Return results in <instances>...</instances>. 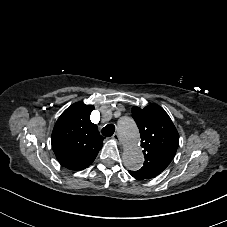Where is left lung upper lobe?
<instances>
[{
	"label": "left lung upper lobe",
	"instance_id": "left-lung-upper-lobe-1",
	"mask_svg": "<svg viewBox=\"0 0 227 227\" xmlns=\"http://www.w3.org/2000/svg\"><path fill=\"white\" fill-rule=\"evenodd\" d=\"M132 117L140 131L145 162L141 169L131 172L140 180L150 179L172 161L179 145V135L169 115L157 104L143 109L133 107Z\"/></svg>",
	"mask_w": 227,
	"mask_h": 227
}]
</instances>
